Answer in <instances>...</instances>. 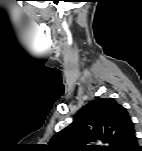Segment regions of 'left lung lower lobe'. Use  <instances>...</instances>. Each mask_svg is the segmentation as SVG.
<instances>
[{
    "label": "left lung lower lobe",
    "instance_id": "left-lung-lower-lobe-1",
    "mask_svg": "<svg viewBox=\"0 0 142 151\" xmlns=\"http://www.w3.org/2000/svg\"><path fill=\"white\" fill-rule=\"evenodd\" d=\"M116 151H142V147L137 145L135 130H132L120 143Z\"/></svg>",
    "mask_w": 142,
    "mask_h": 151
}]
</instances>
